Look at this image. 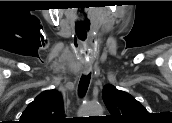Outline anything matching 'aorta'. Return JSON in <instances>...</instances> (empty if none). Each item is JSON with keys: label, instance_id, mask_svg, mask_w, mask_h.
Listing matches in <instances>:
<instances>
[{"label": "aorta", "instance_id": "obj_1", "mask_svg": "<svg viewBox=\"0 0 172 123\" xmlns=\"http://www.w3.org/2000/svg\"><path fill=\"white\" fill-rule=\"evenodd\" d=\"M103 113V109L101 105L92 103V102H86L83 107V114L85 117L88 116H100Z\"/></svg>", "mask_w": 172, "mask_h": 123}]
</instances>
